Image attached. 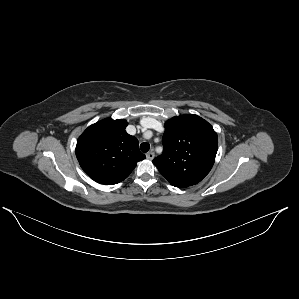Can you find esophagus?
Returning <instances> with one entry per match:
<instances>
[{"label": "esophagus", "instance_id": "34e87169", "mask_svg": "<svg viewBox=\"0 0 299 299\" xmlns=\"http://www.w3.org/2000/svg\"><path fill=\"white\" fill-rule=\"evenodd\" d=\"M155 154L153 151H150L146 154L147 159L152 160L154 158Z\"/></svg>", "mask_w": 299, "mask_h": 299}]
</instances>
